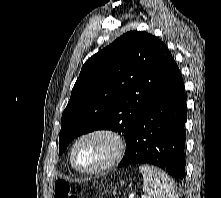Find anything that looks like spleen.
Returning a JSON list of instances; mask_svg holds the SVG:
<instances>
[{
	"label": "spleen",
	"mask_w": 221,
	"mask_h": 198,
	"mask_svg": "<svg viewBox=\"0 0 221 198\" xmlns=\"http://www.w3.org/2000/svg\"><path fill=\"white\" fill-rule=\"evenodd\" d=\"M139 170L143 175L145 198H178L174 180L163 170L149 165H141Z\"/></svg>",
	"instance_id": "obj_1"
}]
</instances>
